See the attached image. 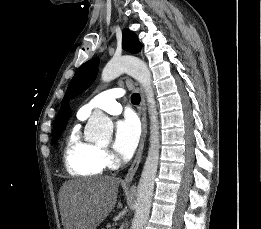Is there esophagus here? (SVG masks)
I'll return each mask as SVG.
<instances>
[{
	"mask_svg": "<svg viewBox=\"0 0 261 229\" xmlns=\"http://www.w3.org/2000/svg\"><path fill=\"white\" fill-rule=\"evenodd\" d=\"M139 90H140V94H141V102H140L139 110L141 112V117H142L141 118V121H142L141 137H140V142H139L136 156L124 179V182L126 184L131 183V181L134 178V175L137 172V169H138L139 164L142 159L144 145H145V141H146V135H147V108H146L145 94H144L141 86L139 87Z\"/></svg>",
	"mask_w": 261,
	"mask_h": 229,
	"instance_id": "obj_1",
	"label": "esophagus"
}]
</instances>
